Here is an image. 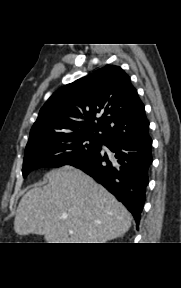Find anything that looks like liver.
Returning a JSON list of instances; mask_svg holds the SVG:
<instances>
[{
  "instance_id": "obj_1",
  "label": "liver",
  "mask_w": 181,
  "mask_h": 288,
  "mask_svg": "<svg viewBox=\"0 0 181 288\" xmlns=\"http://www.w3.org/2000/svg\"><path fill=\"white\" fill-rule=\"evenodd\" d=\"M45 177L47 185L20 200L17 234L44 235L47 243H106L129 230L132 218L124 205L81 170L67 165Z\"/></svg>"
}]
</instances>
